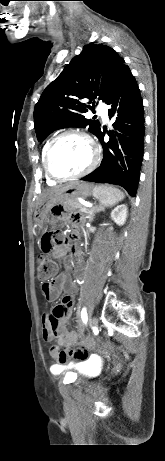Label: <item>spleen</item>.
<instances>
[{
  "mask_svg": "<svg viewBox=\"0 0 165 461\" xmlns=\"http://www.w3.org/2000/svg\"><path fill=\"white\" fill-rule=\"evenodd\" d=\"M94 196L99 200L103 207H112L123 200L124 193L113 186L101 185L95 188Z\"/></svg>",
  "mask_w": 165,
  "mask_h": 461,
  "instance_id": "obj_1",
  "label": "spleen"
}]
</instances>
